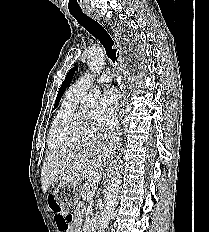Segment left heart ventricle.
Listing matches in <instances>:
<instances>
[{
	"label": "left heart ventricle",
	"mask_w": 209,
	"mask_h": 232,
	"mask_svg": "<svg viewBox=\"0 0 209 232\" xmlns=\"http://www.w3.org/2000/svg\"><path fill=\"white\" fill-rule=\"evenodd\" d=\"M84 115L89 118V119H92V120H95V117H96V114L93 113V112H84Z\"/></svg>",
	"instance_id": "1"
}]
</instances>
